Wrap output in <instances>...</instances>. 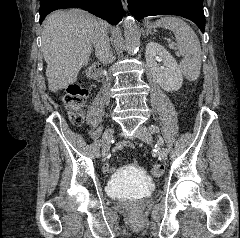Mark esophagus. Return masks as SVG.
Here are the masks:
<instances>
[{"mask_svg": "<svg viewBox=\"0 0 240 238\" xmlns=\"http://www.w3.org/2000/svg\"><path fill=\"white\" fill-rule=\"evenodd\" d=\"M124 10H127V0H121Z\"/></svg>", "mask_w": 240, "mask_h": 238, "instance_id": "obj_1", "label": "esophagus"}]
</instances>
